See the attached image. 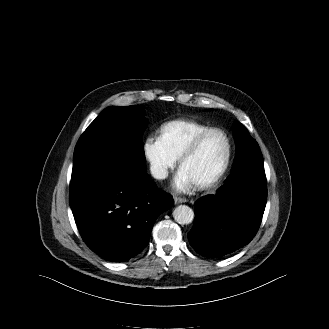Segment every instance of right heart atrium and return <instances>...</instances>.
I'll return each instance as SVG.
<instances>
[{
	"label": "right heart atrium",
	"mask_w": 329,
	"mask_h": 329,
	"mask_svg": "<svg viewBox=\"0 0 329 329\" xmlns=\"http://www.w3.org/2000/svg\"><path fill=\"white\" fill-rule=\"evenodd\" d=\"M144 155L149 163L151 173L159 180L165 179L177 163V159L158 138L148 137L143 145Z\"/></svg>",
	"instance_id": "1"
}]
</instances>
